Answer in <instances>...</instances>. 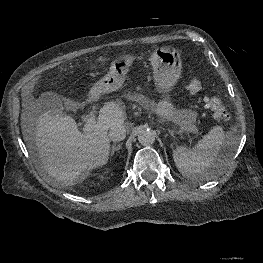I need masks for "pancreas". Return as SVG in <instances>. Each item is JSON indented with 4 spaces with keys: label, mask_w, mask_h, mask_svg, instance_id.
Segmentation results:
<instances>
[{
    "label": "pancreas",
    "mask_w": 263,
    "mask_h": 263,
    "mask_svg": "<svg viewBox=\"0 0 263 263\" xmlns=\"http://www.w3.org/2000/svg\"><path fill=\"white\" fill-rule=\"evenodd\" d=\"M125 97L131 101H135L145 107L148 108H153L154 107V102L152 100H150L148 97L142 95V94H130L128 93L127 95H125Z\"/></svg>",
    "instance_id": "pancreas-1"
}]
</instances>
